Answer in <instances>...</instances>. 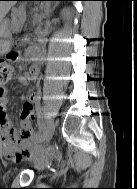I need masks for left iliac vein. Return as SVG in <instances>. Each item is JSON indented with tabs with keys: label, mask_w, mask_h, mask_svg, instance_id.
<instances>
[{
	"label": "left iliac vein",
	"mask_w": 137,
	"mask_h": 189,
	"mask_svg": "<svg viewBox=\"0 0 137 189\" xmlns=\"http://www.w3.org/2000/svg\"><path fill=\"white\" fill-rule=\"evenodd\" d=\"M54 130H55V122L54 120H50L48 122L45 132L43 133V136L40 139L39 147L37 148L38 150L41 149L45 144H47L51 140L54 134Z\"/></svg>",
	"instance_id": "left-iliac-vein-1"
}]
</instances>
